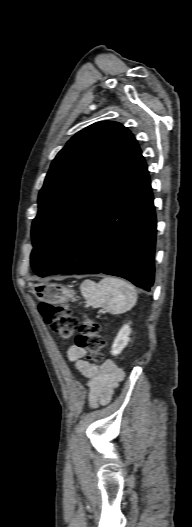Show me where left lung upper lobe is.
Returning a JSON list of instances; mask_svg holds the SVG:
<instances>
[{
  "label": "left lung upper lobe",
  "mask_w": 192,
  "mask_h": 527,
  "mask_svg": "<svg viewBox=\"0 0 192 527\" xmlns=\"http://www.w3.org/2000/svg\"><path fill=\"white\" fill-rule=\"evenodd\" d=\"M133 134L102 121L78 132L53 160L32 224L31 266L38 275L65 252L120 177L141 157Z\"/></svg>",
  "instance_id": "5c2ea615"
}]
</instances>
